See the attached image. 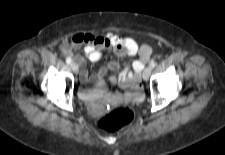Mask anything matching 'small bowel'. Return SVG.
<instances>
[{"label":"small bowel","instance_id":"c3829d8e","mask_svg":"<svg viewBox=\"0 0 225 155\" xmlns=\"http://www.w3.org/2000/svg\"><path fill=\"white\" fill-rule=\"evenodd\" d=\"M83 47L86 57L92 62H98L103 58V50L111 49L119 56L139 55L137 60L131 64L121 67L119 63L112 61L101 67L97 74L91 79L85 69V60L81 55H73V51ZM62 53L73 58L81 66V78L87 83L90 80L94 82L92 88L84 87L81 91V97L86 101H94L104 96L109 103H123L128 101H138L142 98V89L140 86V73L144 65L149 60L151 48L147 44L139 45L130 37H123L115 33H107L103 36H96L91 33H76L66 39L60 46ZM109 72H115V75H109ZM118 83L122 88L128 91H118L109 93V85Z\"/></svg>","mask_w":225,"mask_h":155}]
</instances>
